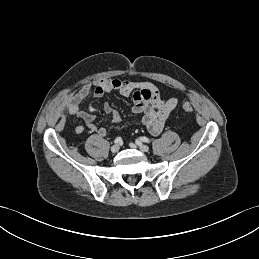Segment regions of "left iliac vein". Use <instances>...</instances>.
Listing matches in <instances>:
<instances>
[{"instance_id":"left-iliac-vein-1","label":"left iliac vein","mask_w":259,"mask_h":259,"mask_svg":"<svg viewBox=\"0 0 259 259\" xmlns=\"http://www.w3.org/2000/svg\"><path fill=\"white\" fill-rule=\"evenodd\" d=\"M130 147L135 148L136 145L133 144V143H131V144H130ZM137 147H138L142 152H148V151H149V147H148L147 145H145V144H138Z\"/></svg>"}]
</instances>
